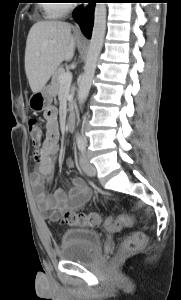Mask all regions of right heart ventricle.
<instances>
[{
  "label": "right heart ventricle",
  "instance_id": "1",
  "mask_svg": "<svg viewBox=\"0 0 181 300\" xmlns=\"http://www.w3.org/2000/svg\"><path fill=\"white\" fill-rule=\"evenodd\" d=\"M47 1H49L50 3H46L43 6V10L47 18L54 19L62 17L68 10V6L64 3H61L60 0Z\"/></svg>",
  "mask_w": 181,
  "mask_h": 300
}]
</instances>
